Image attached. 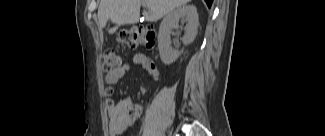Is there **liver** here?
Returning <instances> with one entry per match:
<instances>
[{"mask_svg":"<svg viewBox=\"0 0 325 136\" xmlns=\"http://www.w3.org/2000/svg\"><path fill=\"white\" fill-rule=\"evenodd\" d=\"M191 0H101L98 8L100 28H104L110 20L117 26L109 29V33L116 32L120 25L135 24L140 18V7L144 5L148 11L143 15L146 21L155 22L174 8L185 5Z\"/></svg>","mask_w":325,"mask_h":136,"instance_id":"obj_1","label":"liver"}]
</instances>
